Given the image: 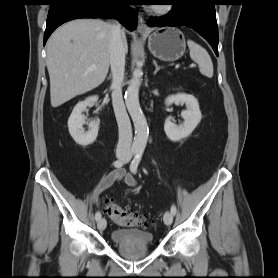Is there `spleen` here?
Segmentation results:
<instances>
[{
    "mask_svg": "<svg viewBox=\"0 0 278 278\" xmlns=\"http://www.w3.org/2000/svg\"><path fill=\"white\" fill-rule=\"evenodd\" d=\"M187 44L190 49V57L198 63L200 72L204 76L212 78L214 73L213 63L208 52L192 40H188Z\"/></svg>",
    "mask_w": 278,
    "mask_h": 278,
    "instance_id": "1",
    "label": "spleen"
}]
</instances>
